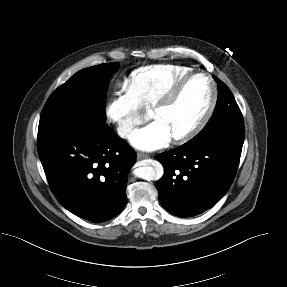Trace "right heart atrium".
I'll list each match as a JSON object with an SVG mask.
<instances>
[{
    "label": "right heart atrium",
    "instance_id": "d8ad5b80",
    "mask_svg": "<svg viewBox=\"0 0 287 287\" xmlns=\"http://www.w3.org/2000/svg\"><path fill=\"white\" fill-rule=\"evenodd\" d=\"M107 118L115 125L119 136L128 137L142 120V107L127 84L114 93L105 107Z\"/></svg>",
    "mask_w": 287,
    "mask_h": 287
}]
</instances>
